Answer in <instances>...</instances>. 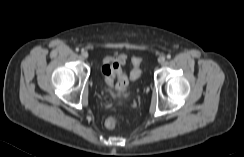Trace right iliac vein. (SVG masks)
<instances>
[{"instance_id": "63e3f726", "label": "right iliac vein", "mask_w": 244, "mask_h": 157, "mask_svg": "<svg viewBox=\"0 0 244 157\" xmlns=\"http://www.w3.org/2000/svg\"><path fill=\"white\" fill-rule=\"evenodd\" d=\"M81 57H82L83 59H87V58H88V53H87V51H82V52H81Z\"/></svg>"}]
</instances>
